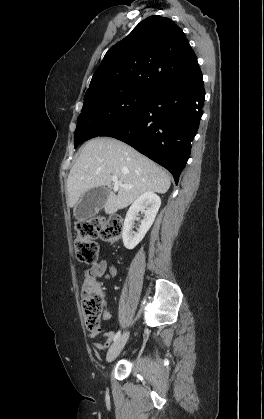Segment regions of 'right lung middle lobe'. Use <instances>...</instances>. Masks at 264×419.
I'll list each match as a JSON object with an SVG mask.
<instances>
[{"mask_svg":"<svg viewBox=\"0 0 264 419\" xmlns=\"http://www.w3.org/2000/svg\"><path fill=\"white\" fill-rule=\"evenodd\" d=\"M152 93L142 88H124L85 95L74 134L75 147L127 119Z\"/></svg>","mask_w":264,"mask_h":419,"instance_id":"dd1d6c3e","label":"right lung middle lobe"}]
</instances>
